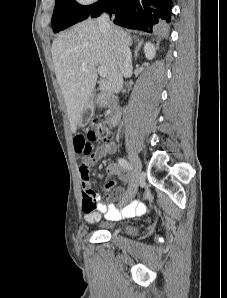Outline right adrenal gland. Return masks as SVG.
Here are the masks:
<instances>
[{"label": "right adrenal gland", "instance_id": "2a0ac1e0", "mask_svg": "<svg viewBox=\"0 0 227 298\" xmlns=\"http://www.w3.org/2000/svg\"><path fill=\"white\" fill-rule=\"evenodd\" d=\"M136 43H137V46L135 48V51H134V58H135V61L137 60V57H138V52L143 44V40H139V39H136Z\"/></svg>", "mask_w": 227, "mask_h": 298}]
</instances>
